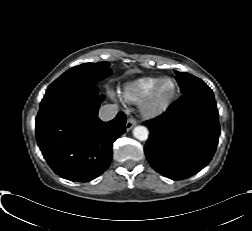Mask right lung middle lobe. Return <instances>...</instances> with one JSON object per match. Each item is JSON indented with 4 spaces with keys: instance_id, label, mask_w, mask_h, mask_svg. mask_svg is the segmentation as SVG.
<instances>
[{
    "instance_id": "obj_1",
    "label": "right lung middle lobe",
    "mask_w": 252,
    "mask_h": 231,
    "mask_svg": "<svg viewBox=\"0 0 252 231\" xmlns=\"http://www.w3.org/2000/svg\"><path fill=\"white\" fill-rule=\"evenodd\" d=\"M111 74L108 62L84 63L70 68L47 89L46 94L87 84H95Z\"/></svg>"
}]
</instances>
